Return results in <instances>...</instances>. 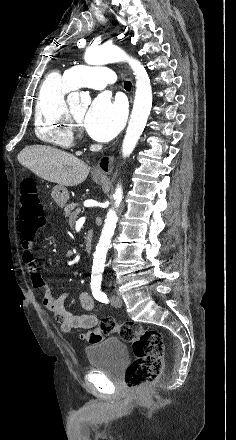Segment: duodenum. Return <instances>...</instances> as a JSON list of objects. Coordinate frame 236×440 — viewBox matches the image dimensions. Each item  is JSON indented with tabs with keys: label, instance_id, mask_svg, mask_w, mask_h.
Masks as SVG:
<instances>
[{
	"label": "duodenum",
	"instance_id": "410a0bca",
	"mask_svg": "<svg viewBox=\"0 0 236 440\" xmlns=\"http://www.w3.org/2000/svg\"><path fill=\"white\" fill-rule=\"evenodd\" d=\"M93 238H94L93 231L88 230L86 233V236H85V241H84V249L87 253L90 252L92 249Z\"/></svg>",
	"mask_w": 236,
	"mask_h": 440
}]
</instances>
